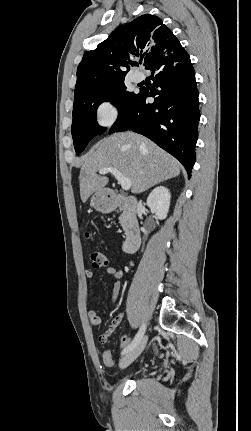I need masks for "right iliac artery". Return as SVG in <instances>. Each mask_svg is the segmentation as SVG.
Instances as JSON below:
<instances>
[{"mask_svg":"<svg viewBox=\"0 0 251 431\" xmlns=\"http://www.w3.org/2000/svg\"><path fill=\"white\" fill-rule=\"evenodd\" d=\"M145 329H146V325L142 324V326L139 329L138 333L136 334L135 338L130 343V345L122 351V354L128 353L130 350H132L140 342V340L142 339V337L144 335Z\"/></svg>","mask_w":251,"mask_h":431,"instance_id":"right-iliac-artery-1","label":"right iliac artery"}]
</instances>
